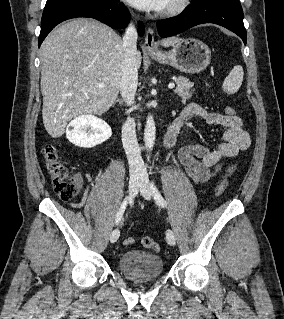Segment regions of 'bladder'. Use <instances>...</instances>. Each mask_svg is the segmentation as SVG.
Masks as SVG:
<instances>
[{"instance_id":"31cf9c89","label":"bladder","mask_w":284,"mask_h":319,"mask_svg":"<svg viewBox=\"0 0 284 319\" xmlns=\"http://www.w3.org/2000/svg\"><path fill=\"white\" fill-rule=\"evenodd\" d=\"M118 266L122 274L129 280L149 282L162 274L164 262L155 253L143 250H128L120 255Z\"/></svg>"}]
</instances>
